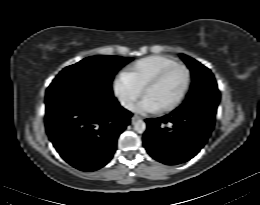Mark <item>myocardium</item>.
I'll use <instances>...</instances> for the list:
<instances>
[{"label":"myocardium","mask_w":260,"mask_h":205,"mask_svg":"<svg viewBox=\"0 0 260 205\" xmlns=\"http://www.w3.org/2000/svg\"><path fill=\"white\" fill-rule=\"evenodd\" d=\"M174 68H182L185 73H186V84L184 89L182 90V92L180 93V95L170 104L163 106L161 108L158 109L159 112H169L172 111L174 109H176L179 105L182 104V102L185 100L186 96L188 95L191 86H192V82H193V75L191 70L189 69V67L182 63V62H176L173 63L165 68H163L162 70H160L157 74H155L143 87L142 89V94L143 96H146L147 92L154 87L159 81H161V79L172 69Z\"/></svg>","instance_id":"obj_1"}]
</instances>
